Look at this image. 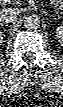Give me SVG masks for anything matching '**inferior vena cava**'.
Wrapping results in <instances>:
<instances>
[{"label": "inferior vena cava", "instance_id": "1", "mask_svg": "<svg viewBox=\"0 0 63 107\" xmlns=\"http://www.w3.org/2000/svg\"><path fill=\"white\" fill-rule=\"evenodd\" d=\"M18 12L15 8H4L0 11V21L2 23L13 22L17 18Z\"/></svg>", "mask_w": 63, "mask_h": 107}]
</instances>
